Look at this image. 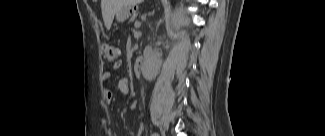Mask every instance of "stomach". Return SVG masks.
Here are the masks:
<instances>
[{
  "instance_id": "stomach-1",
  "label": "stomach",
  "mask_w": 325,
  "mask_h": 136,
  "mask_svg": "<svg viewBox=\"0 0 325 136\" xmlns=\"http://www.w3.org/2000/svg\"><path fill=\"white\" fill-rule=\"evenodd\" d=\"M136 5H127V8H123L121 11L116 13V19L119 22L125 21L130 15L136 12Z\"/></svg>"
}]
</instances>
